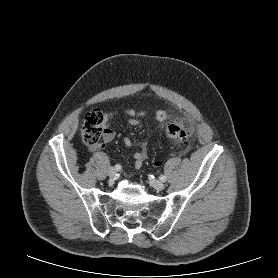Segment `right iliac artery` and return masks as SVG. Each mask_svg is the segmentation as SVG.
<instances>
[{"instance_id":"obj_1","label":"right iliac artery","mask_w":278,"mask_h":278,"mask_svg":"<svg viewBox=\"0 0 278 278\" xmlns=\"http://www.w3.org/2000/svg\"><path fill=\"white\" fill-rule=\"evenodd\" d=\"M115 169H116L117 171L121 170V165H119V164L115 165Z\"/></svg>"}]
</instances>
